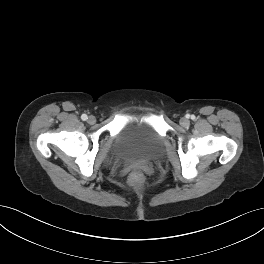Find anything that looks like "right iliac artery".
<instances>
[{
    "label": "right iliac artery",
    "instance_id": "1",
    "mask_svg": "<svg viewBox=\"0 0 264 264\" xmlns=\"http://www.w3.org/2000/svg\"><path fill=\"white\" fill-rule=\"evenodd\" d=\"M81 119H82L83 121H85V120H87V119H88V117H87V115H86V114H83V115L81 116Z\"/></svg>",
    "mask_w": 264,
    "mask_h": 264
}]
</instances>
